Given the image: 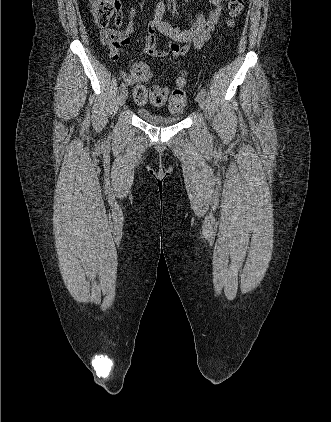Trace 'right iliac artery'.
Here are the masks:
<instances>
[{
	"label": "right iliac artery",
	"instance_id": "1",
	"mask_svg": "<svg viewBox=\"0 0 331 422\" xmlns=\"http://www.w3.org/2000/svg\"><path fill=\"white\" fill-rule=\"evenodd\" d=\"M119 89H120V91L124 90V89H125V84H124V83H122V84L120 85Z\"/></svg>",
	"mask_w": 331,
	"mask_h": 422
}]
</instances>
